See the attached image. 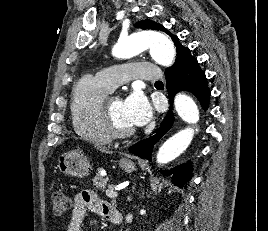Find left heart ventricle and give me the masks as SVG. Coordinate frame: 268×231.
Returning a JSON list of instances; mask_svg holds the SVG:
<instances>
[{
    "mask_svg": "<svg viewBox=\"0 0 268 231\" xmlns=\"http://www.w3.org/2000/svg\"><path fill=\"white\" fill-rule=\"evenodd\" d=\"M112 111L118 125L123 129H133L135 126L130 121L125 109L124 101L121 98H114Z\"/></svg>",
    "mask_w": 268,
    "mask_h": 231,
    "instance_id": "obj_1",
    "label": "left heart ventricle"
}]
</instances>
